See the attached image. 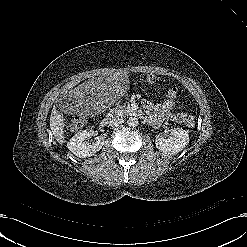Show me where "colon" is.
<instances>
[{"label":"colon","instance_id":"obj_1","mask_svg":"<svg viewBox=\"0 0 247 247\" xmlns=\"http://www.w3.org/2000/svg\"><path fill=\"white\" fill-rule=\"evenodd\" d=\"M177 95V89L176 88H169L166 92V96L169 99L175 98ZM86 116L80 115L75 117L72 121L69 122L68 128L72 131H76L80 128H82L86 122ZM185 123L192 127L195 125V118L193 115H187L185 119Z\"/></svg>","mask_w":247,"mask_h":247}]
</instances>
